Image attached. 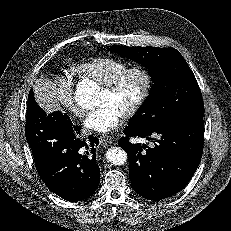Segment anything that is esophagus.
Wrapping results in <instances>:
<instances>
[{
    "mask_svg": "<svg viewBox=\"0 0 231 231\" xmlns=\"http://www.w3.org/2000/svg\"><path fill=\"white\" fill-rule=\"evenodd\" d=\"M101 142L103 144H106V145H110V144H113L115 142V138L114 137H111L109 135H105L103 136V138L101 139Z\"/></svg>",
    "mask_w": 231,
    "mask_h": 231,
    "instance_id": "esophagus-1",
    "label": "esophagus"
}]
</instances>
